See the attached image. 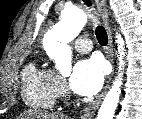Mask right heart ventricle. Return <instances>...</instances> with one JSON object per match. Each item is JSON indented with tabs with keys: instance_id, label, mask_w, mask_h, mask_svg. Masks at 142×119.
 <instances>
[{
	"instance_id": "e07e8e85",
	"label": "right heart ventricle",
	"mask_w": 142,
	"mask_h": 119,
	"mask_svg": "<svg viewBox=\"0 0 142 119\" xmlns=\"http://www.w3.org/2000/svg\"><path fill=\"white\" fill-rule=\"evenodd\" d=\"M56 74L52 71L28 65L23 73L22 96L25 103L36 108H51L57 98Z\"/></svg>"
}]
</instances>
